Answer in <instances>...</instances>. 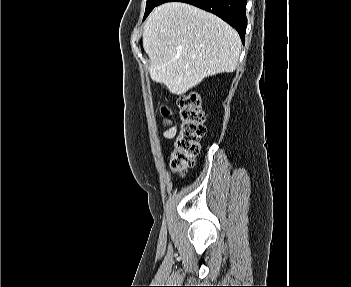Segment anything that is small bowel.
Masks as SVG:
<instances>
[{
  "mask_svg": "<svg viewBox=\"0 0 351 287\" xmlns=\"http://www.w3.org/2000/svg\"><path fill=\"white\" fill-rule=\"evenodd\" d=\"M177 125L172 124L170 127L162 131V136L166 139H171L176 135Z\"/></svg>",
  "mask_w": 351,
  "mask_h": 287,
  "instance_id": "obj_1",
  "label": "small bowel"
}]
</instances>
